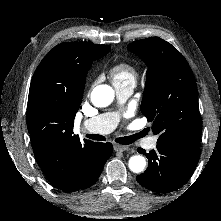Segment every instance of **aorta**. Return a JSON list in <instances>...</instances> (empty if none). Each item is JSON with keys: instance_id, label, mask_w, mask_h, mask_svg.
Listing matches in <instances>:
<instances>
[{"instance_id": "1", "label": "aorta", "mask_w": 221, "mask_h": 221, "mask_svg": "<svg viewBox=\"0 0 221 221\" xmlns=\"http://www.w3.org/2000/svg\"><path fill=\"white\" fill-rule=\"evenodd\" d=\"M114 99V90L108 85H99L91 93V101L96 107H106ZM129 169L134 173H141L146 166V160L141 155H134L129 159Z\"/></svg>"}]
</instances>
